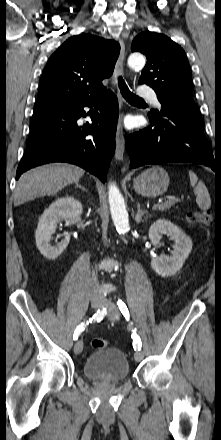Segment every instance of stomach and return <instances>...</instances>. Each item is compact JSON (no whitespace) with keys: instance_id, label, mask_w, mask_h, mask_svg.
<instances>
[{"instance_id":"stomach-1","label":"stomach","mask_w":221,"mask_h":440,"mask_svg":"<svg viewBox=\"0 0 221 440\" xmlns=\"http://www.w3.org/2000/svg\"><path fill=\"white\" fill-rule=\"evenodd\" d=\"M168 173L159 166L143 171L133 181L134 190L145 197H156L165 193L169 186Z\"/></svg>"}]
</instances>
